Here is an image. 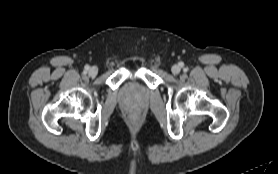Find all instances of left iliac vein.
I'll return each mask as SVG.
<instances>
[{"label": "left iliac vein", "instance_id": "left-iliac-vein-1", "mask_svg": "<svg viewBox=\"0 0 278 174\" xmlns=\"http://www.w3.org/2000/svg\"><path fill=\"white\" fill-rule=\"evenodd\" d=\"M180 67L178 65H173L171 68L172 73L178 74L180 72Z\"/></svg>", "mask_w": 278, "mask_h": 174}]
</instances>
